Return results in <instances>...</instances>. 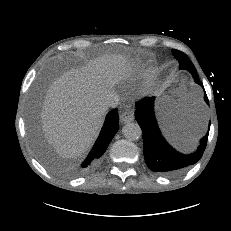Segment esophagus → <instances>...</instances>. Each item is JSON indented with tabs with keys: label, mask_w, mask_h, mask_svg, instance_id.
Segmentation results:
<instances>
[{
	"label": "esophagus",
	"mask_w": 231,
	"mask_h": 231,
	"mask_svg": "<svg viewBox=\"0 0 231 231\" xmlns=\"http://www.w3.org/2000/svg\"><path fill=\"white\" fill-rule=\"evenodd\" d=\"M119 118H120V122L123 124L130 123L134 120V112L130 109H126L122 111Z\"/></svg>",
	"instance_id": "34e87169"
}]
</instances>
